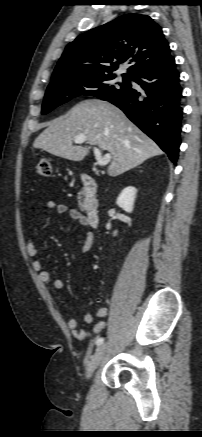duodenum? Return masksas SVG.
I'll use <instances>...</instances> for the list:
<instances>
[{
    "mask_svg": "<svg viewBox=\"0 0 202 437\" xmlns=\"http://www.w3.org/2000/svg\"><path fill=\"white\" fill-rule=\"evenodd\" d=\"M83 194L85 198L86 219L88 225L97 228L100 223L99 205L97 200V182L87 174L81 176Z\"/></svg>",
    "mask_w": 202,
    "mask_h": 437,
    "instance_id": "1",
    "label": "duodenum"
}]
</instances>
